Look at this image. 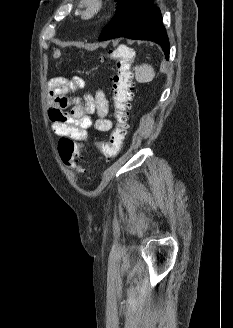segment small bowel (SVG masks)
Here are the masks:
<instances>
[{"label": "small bowel", "instance_id": "small-bowel-1", "mask_svg": "<svg viewBox=\"0 0 233 328\" xmlns=\"http://www.w3.org/2000/svg\"><path fill=\"white\" fill-rule=\"evenodd\" d=\"M50 108L48 115L53 132L61 137H70L77 142H86L87 130L94 127L97 131L107 132L112 128L108 119L109 103L102 90L94 95L86 94L83 101L74 100L69 112L65 109L71 104L72 96L85 86L79 76L68 79L56 77L49 81ZM96 114V119L92 115Z\"/></svg>", "mask_w": 233, "mask_h": 328}]
</instances>
